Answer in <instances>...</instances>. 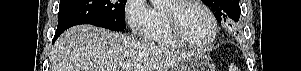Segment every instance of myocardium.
Wrapping results in <instances>:
<instances>
[{
	"instance_id": "myocardium-1",
	"label": "myocardium",
	"mask_w": 301,
	"mask_h": 71,
	"mask_svg": "<svg viewBox=\"0 0 301 71\" xmlns=\"http://www.w3.org/2000/svg\"><path fill=\"white\" fill-rule=\"evenodd\" d=\"M196 5L204 10L212 23V34L210 38L202 43L193 42L185 35L182 25L178 20L177 13L188 5ZM168 27L173 36L183 45L193 48H206L211 46L218 35V23L212 11L201 1L198 0H168L167 5L163 8Z\"/></svg>"
}]
</instances>
